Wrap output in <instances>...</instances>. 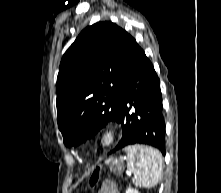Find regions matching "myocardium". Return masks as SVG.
<instances>
[{
  "mask_svg": "<svg viewBox=\"0 0 221 193\" xmlns=\"http://www.w3.org/2000/svg\"><path fill=\"white\" fill-rule=\"evenodd\" d=\"M118 135L117 126L108 123L101 128L98 136V143L103 149H109L116 143Z\"/></svg>",
  "mask_w": 221,
  "mask_h": 193,
  "instance_id": "1",
  "label": "myocardium"
}]
</instances>
